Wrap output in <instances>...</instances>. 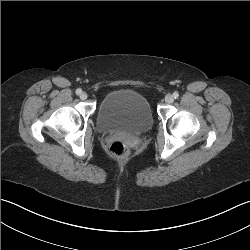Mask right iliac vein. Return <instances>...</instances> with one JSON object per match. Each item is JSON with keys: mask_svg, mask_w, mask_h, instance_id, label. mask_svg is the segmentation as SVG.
<instances>
[{"mask_svg": "<svg viewBox=\"0 0 250 250\" xmlns=\"http://www.w3.org/2000/svg\"><path fill=\"white\" fill-rule=\"evenodd\" d=\"M87 93L86 92H82L81 94H80V98L82 99V100H85V99H87Z\"/></svg>", "mask_w": 250, "mask_h": 250, "instance_id": "1", "label": "right iliac vein"}]
</instances>
